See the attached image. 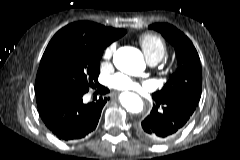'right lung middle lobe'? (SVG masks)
I'll use <instances>...</instances> for the list:
<instances>
[{
  "mask_svg": "<svg viewBox=\"0 0 240 160\" xmlns=\"http://www.w3.org/2000/svg\"><path fill=\"white\" fill-rule=\"evenodd\" d=\"M103 49L88 45L69 32H57L39 65L36 97L53 92L83 95L90 87H97Z\"/></svg>",
  "mask_w": 240,
  "mask_h": 160,
  "instance_id": "obj_1",
  "label": "right lung middle lobe"
}]
</instances>
